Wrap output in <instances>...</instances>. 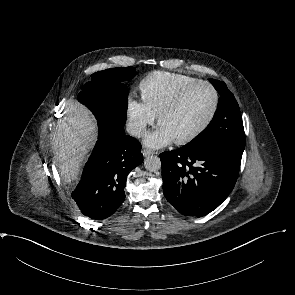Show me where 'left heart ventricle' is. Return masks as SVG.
Masks as SVG:
<instances>
[{"label":"left heart ventricle","mask_w":295,"mask_h":295,"mask_svg":"<svg viewBox=\"0 0 295 295\" xmlns=\"http://www.w3.org/2000/svg\"><path fill=\"white\" fill-rule=\"evenodd\" d=\"M213 105V93L200 85L190 92L176 111L164 117L161 125L174 135L175 140L187 137L205 123Z\"/></svg>","instance_id":"1"}]
</instances>
